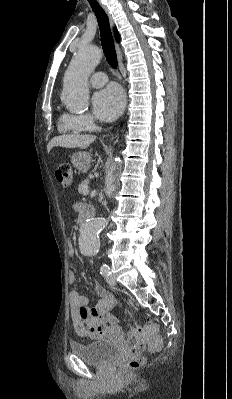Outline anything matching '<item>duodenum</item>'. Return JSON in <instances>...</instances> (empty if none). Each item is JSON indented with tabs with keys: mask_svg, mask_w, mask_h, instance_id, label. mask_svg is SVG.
Here are the masks:
<instances>
[{
	"mask_svg": "<svg viewBox=\"0 0 232 399\" xmlns=\"http://www.w3.org/2000/svg\"><path fill=\"white\" fill-rule=\"evenodd\" d=\"M85 221H86V216H82L81 219H80V222L84 223Z\"/></svg>",
	"mask_w": 232,
	"mask_h": 399,
	"instance_id": "obj_1",
	"label": "duodenum"
}]
</instances>
